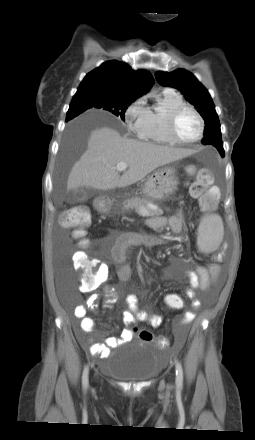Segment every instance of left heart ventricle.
<instances>
[{"label": "left heart ventricle", "mask_w": 255, "mask_h": 440, "mask_svg": "<svg viewBox=\"0 0 255 440\" xmlns=\"http://www.w3.org/2000/svg\"><path fill=\"white\" fill-rule=\"evenodd\" d=\"M199 120L191 111H184L177 120L176 131L180 139L189 141L199 133Z\"/></svg>", "instance_id": "left-heart-ventricle-1"}]
</instances>
